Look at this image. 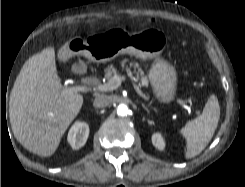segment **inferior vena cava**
<instances>
[{
  "label": "inferior vena cava",
  "mask_w": 245,
  "mask_h": 187,
  "mask_svg": "<svg viewBox=\"0 0 245 187\" xmlns=\"http://www.w3.org/2000/svg\"><path fill=\"white\" fill-rule=\"evenodd\" d=\"M110 98L109 96L107 95H104V94H100V95H97L95 100H94V104L96 107H99V108H103V107H106L110 104Z\"/></svg>",
  "instance_id": "602c4592"
}]
</instances>
